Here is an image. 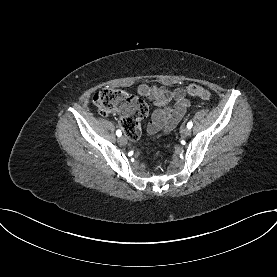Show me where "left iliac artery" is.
<instances>
[{
  "mask_svg": "<svg viewBox=\"0 0 277 277\" xmlns=\"http://www.w3.org/2000/svg\"><path fill=\"white\" fill-rule=\"evenodd\" d=\"M192 126H193V123L192 122H188V124H187V128H192Z\"/></svg>",
  "mask_w": 277,
  "mask_h": 277,
  "instance_id": "left-iliac-artery-1",
  "label": "left iliac artery"
}]
</instances>
